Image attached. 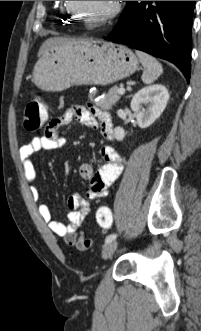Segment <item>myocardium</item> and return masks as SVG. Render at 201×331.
<instances>
[{
	"label": "myocardium",
	"mask_w": 201,
	"mask_h": 331,
	"mask_svg": "<svg viewBox=\"0 0 201 331\" xmlns=\"http://www.w3.org/2000/svg\"><path fill=\"white\" fill-rule=\"evenodd\" d=\"M67 9L72 11L77 19L83 21L87 25L95 26V25H103L109 22L110 20H112L120 12L121 3L120 1H112L110 9L106 13L102 14L98 18L91 20L86 19L82 15H80V13H78L74 8L72 1H67Z\"/></svg>",
	"instance_id": "obj_1"
}]
</instances>
